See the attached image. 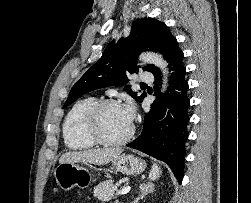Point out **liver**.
<instances>
[{"label": "liver", "instance_id": "6515ba94", "mask_svg": "<svg viewBox=\"0 0 251 203\" xmlns=\"http://www.w3.org/2000/svg\"><path fill=\"white\" fill-rule=\"evenodd\" d=\"M121 148H105V149H88L83 151H70L64 153L59 163H90L96 165H104L117 158L122 153Z\"/></svg>", "mask_w": 251, "mask_h": 203}]
</instances>
